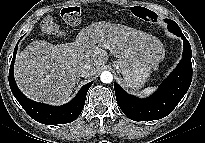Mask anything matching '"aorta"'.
<instances>
[{"label":"aorta","instance_id":"obj_1","mask_svg":"<svg viewBox=\"0 0 205 143\" xmlns=\"http://www.w3.org/2000/svg\"><path fill=\"white\" fill-rule=\"evenodd\" d=\"M100 79H101V82L108 84L112 82L113 75L109 71H104L101 73Z\"/></svg>","mask_w":205,"mask_h":143}]
</instances>
